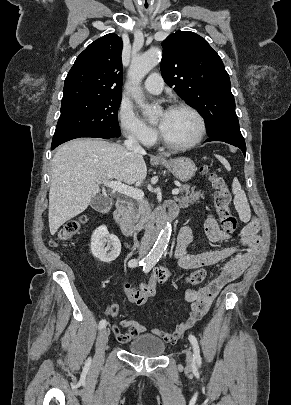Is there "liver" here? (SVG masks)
Listing matches in <instances>:
<instances>
[{"label":"liver","instance_id":"obj_1","mask_svg":"<svg viewBox=\"0 0 291 405\" xmlns=\"http://www.w3.org/2000/svg\"><path fill=\"white\" fill-rule=\"evenodd\" d=\"M146 175L143 153L101 139L65 143L52 159L50 233L54 235L65 222L82 213L100 192L102 182L116 179L130 185L143 181Z\"/></svg>","mask_w":291,"mask_h":405}]
</instances>
